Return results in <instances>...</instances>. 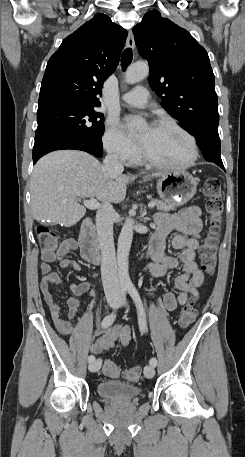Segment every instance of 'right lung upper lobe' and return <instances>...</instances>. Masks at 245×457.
Returning a JSON list of instances; mask_svg holds the SVG:
<instances>
[{
    "label": "right lung upper lobe",
    "instance_id": "right-lung-upper-lobe-1",
    "mask_svg": "<svg viewBox=\"0 0 245 457\" xmlns=\"http://www.w3.org/2000/svg\"><path fill=\"white\" fill-rule=\"evenodd\" d=\"M126 37L125 29L100 13L65 38L47 63L37 112L62 103L99 106L97 96L119 64Z\"/></svg>",
    "mask_w": 245,
    "mask_h": 457
}]
</instances>
